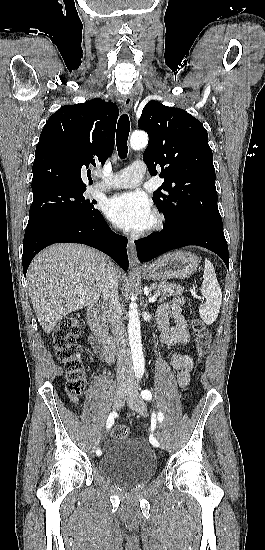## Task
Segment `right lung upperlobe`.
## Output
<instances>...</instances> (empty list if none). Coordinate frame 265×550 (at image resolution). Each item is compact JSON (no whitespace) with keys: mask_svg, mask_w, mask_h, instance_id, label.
<instances>
[{"mask_svg":"<svg viewBox=\"0 0 265 550\" xmlns=\"http://www.w3.org/2000/svg\"><path fill=\"white\" fill-rule=\"evenodd\" d=\"M118 107L95 98L66 105L46 122L35 151L32 189L65 186L86 189L85 168L104 164L114 149ZM90 172H87L89 174Z\"/></svg>","mask_w":265,"mask_h":550,"instance_id":"1","label":"right lung upper lobe"}]
</instances>
